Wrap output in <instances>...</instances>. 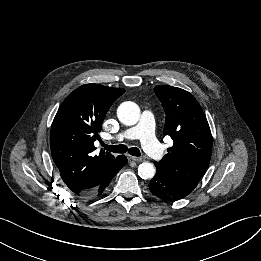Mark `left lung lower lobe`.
I'll return each mask as SVG.
<instances>
[{
	"mask_svg": "<svg viewBox=\"0 0 261 261\" xmlns=\"http://www.w3.org/2000/svg\"><path fill=\"white\" fill-rule=\"evenodd\" d=\"M156 174L149 183L150 191L158 198L165 201H177L188 194L176 188L168 177L158 168Z\"/></svg>",
	"mask_w": 261,
	"mask_h": 261,
	"instance_id": "left-lung-lower-lobe-1",
	"label": "left lung lower lobe"
}]
</instances>
